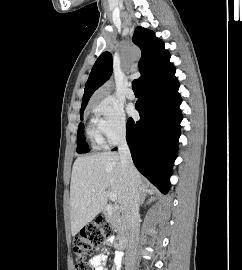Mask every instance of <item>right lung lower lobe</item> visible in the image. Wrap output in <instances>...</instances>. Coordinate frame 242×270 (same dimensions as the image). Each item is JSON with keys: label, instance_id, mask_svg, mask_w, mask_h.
<instances>
[{"label": "right lung lower lobe", "instance_id": "98d812e1", "mask_svg": "<svg viewBox=\"0 0 242 270\" xmlns=\"http://www.w3.org/2000/svg\"><path fill=\"white\" fill-rule=\"evenodd\" d=\"M178 88L175 67L168 61L141 85L136 103L140 120L127 122L126 140L135 166L163 193L170 188L178 150L182 120Z\"/></svg>", "mask_w": 242, "mask_h": 270}]
</instances>
